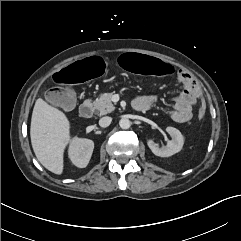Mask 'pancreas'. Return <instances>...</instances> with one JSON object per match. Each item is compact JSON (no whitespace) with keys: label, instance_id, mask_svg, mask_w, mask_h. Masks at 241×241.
Returning a JSON list of instances; mask_svg holds the SVG:
<instances>
[{"label":"pancreas","instance_id":"pancreas-1","mask_svg":"<svg viewBox=\"0 0 241 241\" xmlns=\"http://www.w3.org/2000/svg\"><path fill=\"white\" fill-rule=\"evenodd\" d=\"M112 93L101 94L94 102L93 109L100 115H105L112 112L115 107L111 101Z\"/></svg>","mask_w":241,"mask_h":241}]
</instances>
